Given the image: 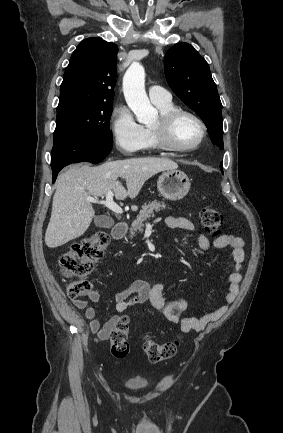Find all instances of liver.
<instances>
[{"mask_svg": "<svg viewBox=\"0 0 283 433\" xmlns=\"http://www.w3.org/2000/svg\"><path fill=\"white\" fill-rule=\"evenodd\" d=\"M175 168L178 164L174 160L156 156L106 160L99 166H71L57 178L51 219L45 233L47 247H61L87 231L95 217L88 196H103L108 190H114L117 200L127 196L135 198L150 176ZM118 176L125 178L127 188L117 180Z\"/></svg>", "mask_w": 283, "mask_h": 433, "instance_id": "1", "label": "liver"}]
</instances>
